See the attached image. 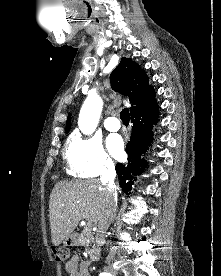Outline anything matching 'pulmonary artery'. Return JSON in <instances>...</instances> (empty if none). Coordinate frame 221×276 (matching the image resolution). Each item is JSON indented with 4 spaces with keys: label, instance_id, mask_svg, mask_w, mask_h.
Instances as JSON below:
<instances>
[{
    "label": "pulmonary artery",
    "instance_id": "1",
    "mask_svg": "<svg viewBox=\"0 0 221 276\" xmlns=\"http://www.w3.org/2000/svg\"><path fill=\"white\" fill-rule=\"evenodd\" d=\"M104 126L109 131H118L120 129V122L116 117H108L104 121Z\"/></svg>",
    "mask_w": 221,
    "mask_h": 276
}]
</instances>
